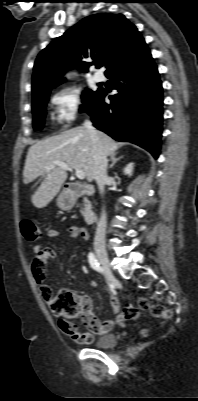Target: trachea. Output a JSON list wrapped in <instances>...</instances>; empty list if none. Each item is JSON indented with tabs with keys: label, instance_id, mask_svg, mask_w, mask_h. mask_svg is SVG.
I'll return each instance as SVG.
<instances>
[{
	"label": "trachea",
	"instance_id": "trachea-1",
	"mask_svg": "<svg viewBox=\"0 0 198 401\" xmlns=\"http://www.w3.org/2000/svg\"><path fill=\"white\" fill-rule=\"evenodd\" d=\"M100 67H101V64H98V65H97V68H100Z\"/></svg>",
	"mask_w": 198,
	"mask_h": 401
}]
</instances>
